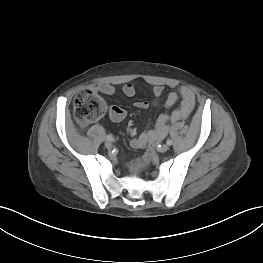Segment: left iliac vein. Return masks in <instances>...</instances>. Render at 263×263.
Returning a JSON list of instances; mask_svg holds the SVG:
<instances>
[{"instance_id": "obj_1", "label": "left iliac vein", "mask_w": 263, "mask_h": 263, "mask_svg": "<svg viewBox=\"0 0 263 263\" xmlns=\"http://www.w3.org/2000/svg\"><path fill=\"white\" fill-rule=\"evenodd\" d=\"M168 149H169V146H168L167 144H163V145L160 146L159 151H160L161 153H164V152H166Z\"/></svg>"}]
</instances>
